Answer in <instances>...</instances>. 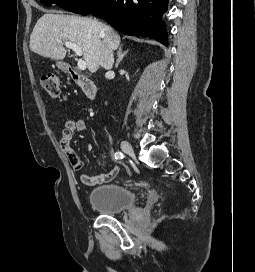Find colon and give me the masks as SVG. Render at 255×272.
<instances>
[{"label":"colon","mask_w":255,"mask_h":272,"mask_svg":"<svg viewBox=\"0 0 255 272\" xmlns=\"http://www.w3.org/2000/svg\"><path fill=\"white\" fill-rule=\"evenodd\" d=\"M42 89L53 98L57 99L60 94V77L56 73H47L40 79Z\"/></svg>","instance_id":"colon-1"}]
</instances>
